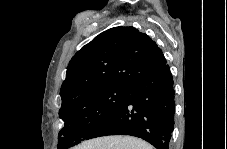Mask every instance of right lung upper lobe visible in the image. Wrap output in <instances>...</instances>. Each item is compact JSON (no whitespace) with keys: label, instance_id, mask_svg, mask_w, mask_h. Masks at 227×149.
<instances>
[{"label":"right lung upper lobe","instance_id":"1","mask_svg":"<svg viewBox=\"0 0 227 149\" xmlns=\"http://www.w3.org/2000/svg\"><path fill=\"white\" fill-rule=\"evenodd\" d=\"M166 64L162 50L134 27H114L96 36L71 59L60 95L62 106L108 85L131 87Z\"/></svg>","mask_w":227,"mask_h":149}]
</instances>
